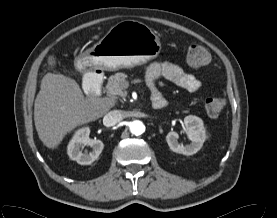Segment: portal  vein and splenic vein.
Returning a JSON list of instances; mask_svg holds the SVG:
<instances>
[{
  "label": "portal vein and splenic vein",
  "instance_id": "1",
  "mask_svg": "<svg viewBox=\"0 0 277 218\" xmlns=\"http://www.w3.org/2000/svg\"><path fill=\"white\" fill-rule=\"evenodd\" d=\"M126 87H128V83H126Z\"/></svg>",
  "mask_w": 277,
  "mask_h": 218
}]
</instances>
